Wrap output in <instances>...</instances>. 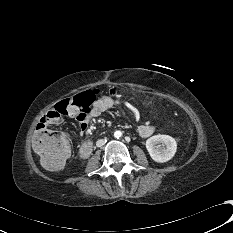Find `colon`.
<instances>
[{
	"instance_id": "obj_1",
	"label": "colon",
	"mask_w": 233,
	"mask_h": 233,
	"mask_svg": "<svg viewBox=\"0 0 233 233\" xmlns=\"http://www.w3.org/2000/svg\"><path fill=\"white\" fill-rule=\"evenodd\" d=\"M100 94L99 88H92L62 101L59 106L62 112L69 107L85 112L91 108ZM33 147L42 164L48 169L56 170L68 159L71 153V140L63 132H52L38 126L33 137Z\"/></svg>"
}]
</instances>
